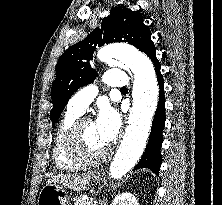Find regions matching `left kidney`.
I'll return each mask as SVG.
<instances>
[{
	"instance_id": "1",
	"label": "left kidney",
	"mask_w": 222,
	"mask_h": 205,
	"mask_svg": "<svg viewBox=\"0 0 222 205\" xmlns=\"http://www.w3.org/2000/svg\"><path fill=\"white\" fill-rule=\"evenodd\" d=\"M112 205H139L136 197L129 193H121L114 199Z\"/></svg>"
}]
</instances>
